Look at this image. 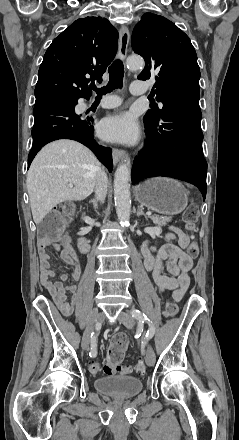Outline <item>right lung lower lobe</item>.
<instances>
[{
	"instance_id": "1",
	"label": "right lung lower lobe",
	"mask_w": 239,
	"mask_h": 440,
	"mask_svg": "<svg viewBox=\"0 0 239 440\" xmlns=\"http://www.w3.org/2000/svg\"><path fill=\"white\" fill-rule=\"evenodd\" d=\"M76 104L77 100L64 97L36 99L33 110L35 119L32 129L33 145L28 156V166L47 143L57 139H72L91 149L100 162L110 172L112 171V150L96 143L93 139V119L77 115L74 111Z\"/></svg>"
}]
</instances>
